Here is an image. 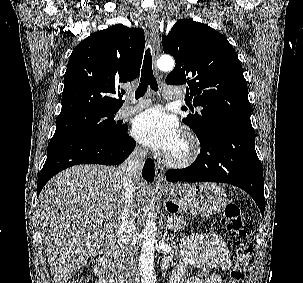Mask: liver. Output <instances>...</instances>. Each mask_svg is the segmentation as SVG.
<instances>
[{
  "label": "liver",
  "instance_id": "liver-1",
  "mask_svg": "<svg viewBox=\"0 0 303 283\" xmlns=\"http://www.w3.org/2000/svg\"><path fill=\"white\" fill-rule=\"evenodd\" d=\"M122 177L120 167L78 165L60 172L43 188L37 214L55 283H67L89 257L114 246L124 205ZM133 184L130 217L135 220L149 187L141 177Z\"/></svg>",
  "mask_w": 303,
  "mask_h": 283
}]
</instances>
